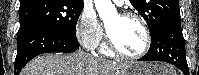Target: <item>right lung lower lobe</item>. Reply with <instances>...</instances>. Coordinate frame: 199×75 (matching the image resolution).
<instances>
[{
	"mask_svg": "<svg viewBox=\"0 0 199 75\" xmlns=\"http://www.w3.org/2000/svg\"><path fill=\"white\" fill-rule=\"evenodd\" d=\"M79 47L76 38L56 33L46 27L29 25L17 33V56L14 63V75L35 56L48 52L70 53Z\"/></svg>",
	"mask_w": 199,
	"mask_h": 75,
	"instance_id": "1",
	"label": "right lung lower lobe"
}]
</instances>
